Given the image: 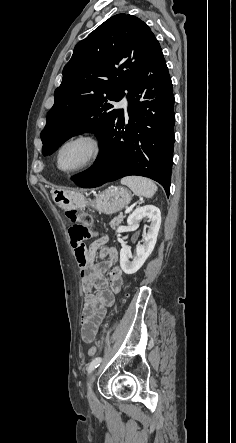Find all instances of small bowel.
<instances>
[{"mask_svg": "<svg viewBox=\"0 0 236 443\" xmlns=\"http://www.w3.org/2000/svg\"><path fill=\"white\" fill-rule=\"evenodd\" d=\"M71 242L85 292L81 336L85 342H92L100 330L107 309L114 303L115 294L119 293L123 286V272L116 264L119 252L116 247L106 245L107 237L103 235L88 248H81L84 245L83 241L71 238ZM97 255L103 261L96 263ZM105 271H108L107 278L103 275ZM93 288L97 289V293L92 292Z\"/></svg>", "mask_w": 236, "mask_h": 443, "instance_id": "c3829d8e", "label": "small bowel"}]
</instances>
